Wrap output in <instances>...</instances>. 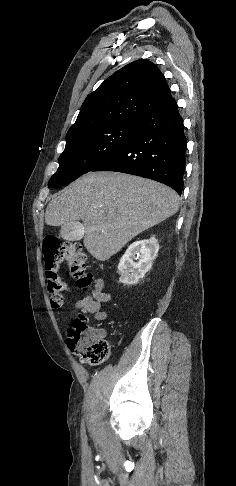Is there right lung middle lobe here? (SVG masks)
I'll use <instances>...</instances> for the list:
<instances>
[{
  "instance_id": "right-lung-middle-lobe-1",
  "label": "right lung middle lobe",
  "mask_w": 236,
  "mask_h": 486,
  "mask_svg": "<svg viewBox=\"0 0 236 486\" xmlns=\"http://www.w3.org/2000/svg\"><path fill=\"white\" fill-rule=\"evenodd\" d=\"M137 123L115 124L92 129L66 139L59 168L49 180L50 188L71 183L118 151L135 135Z\"/></svg>"
}]
</instances>
